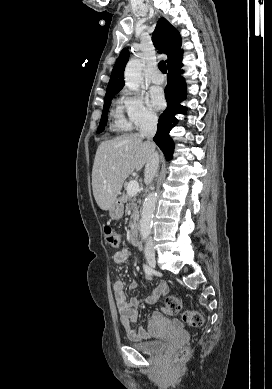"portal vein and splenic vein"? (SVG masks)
<instances>
[{"label": "portal vein and splenic vein", "instance_id": "1", "mask_svg": "<svg viewBox=\"0 0 272 389\" xmlns=\"http://www.w3.org/2000/svg\"><path fill=\"white\" fill-rule=\"evenodd\" d=\"M139 191V184L136 180L130 181L127 185V194L135 196Z\"/></svg>", "mask_w": 272, "mask_h": 389}]
</instances>
